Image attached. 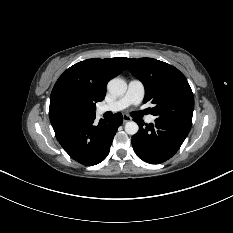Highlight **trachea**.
<instances>
[{"label":"trachea","mask_w":233,"mask_h":233,"mask_svg":"<svg viewBox=\"0 0 233 233\" xmlns=\"http://www.w3.org/2000/svg\"><path fill=\"white\" fill-rule=\"evenodd\" d=\"M138 114L142 115V114H143V112H138Z\"/></svg>","instance_id":"obj_1"}]
</instances>
